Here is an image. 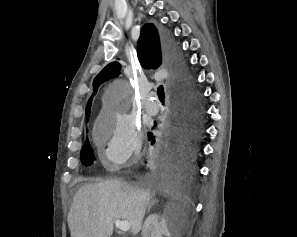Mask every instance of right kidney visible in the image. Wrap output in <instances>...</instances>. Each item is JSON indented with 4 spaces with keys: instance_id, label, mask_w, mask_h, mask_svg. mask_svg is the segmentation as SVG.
<instances>
[{
    "instance_id": "ca27d5eb",
    "label": "right kidney",
    "mask_w": 297,
    "mask_h": 237,
    "mask_svg": "<svg viewBox=\"0 0 297 237\" xmlns=\"http://www.w3.org/2000/svg\"><path fill=\"white\" fill-rule=\"evenodd\" d=\"M171 237L164 217L159 214H151L144 222L142 237Z\"/></svg>"
}]
</instances>
